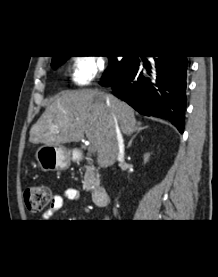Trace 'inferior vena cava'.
<instances>
[{
    "label": "inferior vena cava",
    "instance_id": "1",
    "mask_svg": "<svg viewBox=\"0 0 218 277\" xmlns=\"http://www.w3.org/2000/svg\"><path fill=\"white\" fill-rule=\"evenodd\" d=\"M114 122H115L116 135H117V143H118L117 160L120 163H123L124 162V140H123L122 134L120 132V129H119L116 117H114Z\"/></svg>",
    "mask_w": 218,
    "mask_h": 277
}]
</instances>
